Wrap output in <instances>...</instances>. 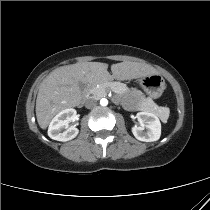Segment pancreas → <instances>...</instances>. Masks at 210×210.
<instances>
[{
  "label": "pancreas",
  "mask_w": 210,
  "mask_h": 210,
  "mask_svg": "<svg viewBox=\"0 0 210 210\" xmlns=\"http://www.w3.org/2000/svg\"><path fill=\"white\" fill-rule=\"evenodd\" d=\"M107 90H112L117 94H122L128 91V87L124 83L120 82H108L105 84H99L97 86H93L90 89V93L93 97L101 98L106 96ZM141 94L140 91H138ZM140 109L145 112H152L156 113L159 110V107L151 100V99H144L140 104Z\"/></svg>",
  "instance_id": "pancreas-1"
}]
</instances>
